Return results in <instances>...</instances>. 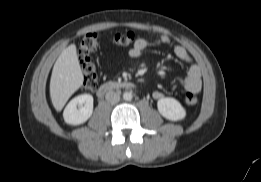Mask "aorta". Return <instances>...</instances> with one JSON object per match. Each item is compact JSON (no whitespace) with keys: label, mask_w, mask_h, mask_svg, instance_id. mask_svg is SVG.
I'll return each instance as SVG.
<instances>
[{"label":"aorta","mask_w":261,"mask_h":182,"mask_svg":"<svg viewBox=\"0 0 261 182\" xmlns=\"http://www.w3.org/2000/svg\"><path fill=\"white\" fill-rule=\"evenodd\" d=\"M132 98H133L132 92L126 91V92L123 93V99L125 101H131Z\"/></svg>","instance_id":"obj_1"}]
</instances>
